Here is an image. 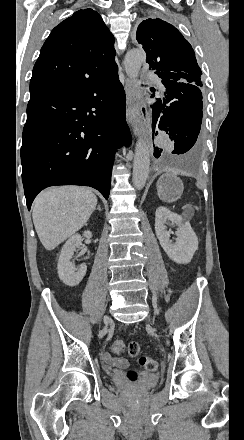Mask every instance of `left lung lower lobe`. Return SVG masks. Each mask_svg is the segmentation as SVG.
<instances>
[{"label": "left lung lower lobe", "instance_id": "left-lung-lower-lobe-1", "mask_svg": "<svg viewBox=\"0 0 244 440\" xmlns=\"http://www.w3.org/2000/svg\"><path fill=\"white\" fill-rule=\"evenodd\" d=\"M166 88L163 101H157L151 106L153 110V133L165 131L174 142L173 154H183L189 151L197 142L202 123V93L201 85L162 81ZM154 92L153 90H151ZM154 95H152L153 97ZM162 149L154 146V156L159 158Z\"/></svg>", "mask_w": 244, "mask_h": 440}]
</instances>
